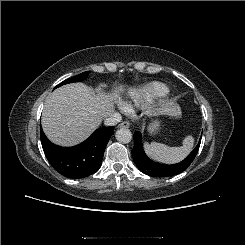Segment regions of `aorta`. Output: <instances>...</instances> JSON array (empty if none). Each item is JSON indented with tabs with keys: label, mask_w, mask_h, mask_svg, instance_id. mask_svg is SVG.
<instances>
[{
	"label": "aorta",
	"mask_w": 245,
	"mask_h": 245,
	"mask_svg": "<svg viewBox=\"0 0 245 245\" xmlns=\"http://www.w3.org/2000/svg\"><path fill=\"white\" fill-rule=\"evenodd\" d=\"M115 137L121 143H129L132 140V133L127 128H120L116 131Z\"/></svg>",
	"instance_id": "762f6f07"
}]
</instances>
